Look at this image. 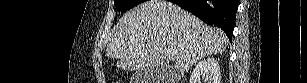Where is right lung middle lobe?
<instances>
[{"label":"right lung middle lobe","mask_w":307,"mask_h":83,"mask_svg":"<svg viewBox=\"0 0 307 83\" xmlns=\"http://www.w3.org/2000/svg\"><path fill=\"white\" fill-rule=\"evenodd\" d=\"M145 0H115V6L121 10L122 12H126L127 10L143 3Z\"/></svg>","instance_id":"1"}]
</instances>
